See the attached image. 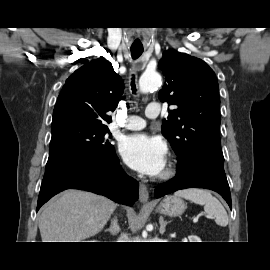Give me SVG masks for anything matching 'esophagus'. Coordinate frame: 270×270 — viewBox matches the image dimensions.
Here are the masks:
<instances>
[{
  "label": "esophagus",
  "instance_id": "1",
  "mask_svg": "<svg viewBox=\"0 0 270 270\" xmlns=\"http://www.w3.org/2000/svg\"><path fill=\"white\" fill-rule=\"evenodd\" d=\"M148 200H149V192L147 187L140 183L139 185V201L144 204V205H148Z\"/></svg>",
  "mask_w": 270,
  "mask_h": 270
}]
</instances>
